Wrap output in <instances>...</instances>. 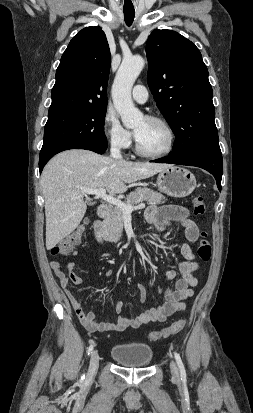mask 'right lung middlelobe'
Segmentation results:
<instances>
[{
  "instance_id": "obj_1",
  "label": "right lung middle lobe",
  "mask_w": 253,
  "mask_h": 413,
  "mask_svg": "<svg viewBox=\"0 0 253 413\" xmlns=\"http://www.w3.org/2000/svg\"><path fill=\"white\" fill-rule=\"evenodd\" d=\"M106 108L68 110L48 115L42 149L63 142L94 143L106 141Z\"/></svg>"
}]
</instances>
